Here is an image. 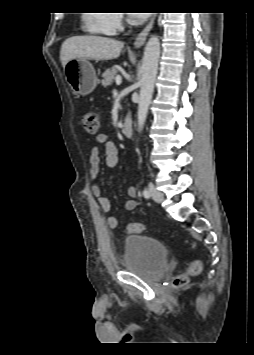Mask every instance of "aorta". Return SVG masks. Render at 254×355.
Listing matches in <instances>:
<instances>
[{
  "label": "aorta",
  "instance_id": "1",
  "mask_svg": "<svg viewBox=\"0 0 254 355\" xmlns=\"http://www.w3.org/2000/svg\"><path fill=\"white\" fill-rule=\"evenodd\" d=\"M160 57V41L157 36H152L144 49L142 61V78L138 102V130L142 131L148 113V108L154 92V84Z\"/></svg>",
  "mask_w": 254,
  "mask_h": 355
}]
</instances>
